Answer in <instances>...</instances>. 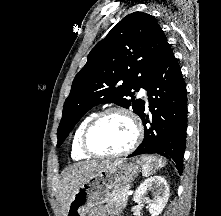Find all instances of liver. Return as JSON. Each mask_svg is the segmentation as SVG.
<instances>
[{
  "instance_id": "obj_1",
  "label": "liver",
  "mask_w": 221,
  "mask_h": 216,
  "mask_svg": "<svg viewBox=\"0 0 221 216\" xmlns=\"http://www.w3.org/2000/svg\"><path fill=\"white\" fill-rule=\"evenodd\" d=\"M107 165V162L87 161L69 167L63 173L59 197L63 209L66 211L72 193L92 174Z\"/></svg>"
}]
</instances>
